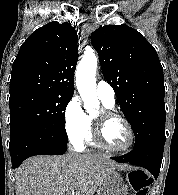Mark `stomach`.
Returning a JSON list of instances; mask_svg holds the SVG:
<instances>
[{
  "label": "stomach",
  "instance_id": "0dacf381",
  "mask_svg": "<svg viewBox=\"0 0 178 195\" xmlns=\"http://www.w3.org/2000/svg\"><path fill=\"white\" fill-rule=\"evenodd\" d=\"M123 169H111L102 180L98 195H130L129 177L124 175Z\"/></svg>",
  "mask_w": 178,
  "mask_h": 195
}]
</instances>
